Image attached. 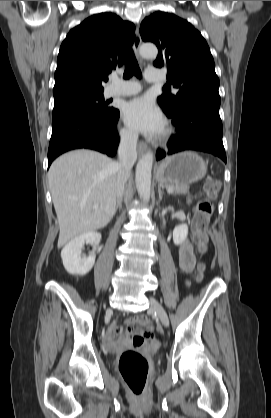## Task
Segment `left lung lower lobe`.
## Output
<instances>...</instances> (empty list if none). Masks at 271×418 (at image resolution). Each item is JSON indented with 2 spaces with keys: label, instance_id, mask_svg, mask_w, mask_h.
I'll return each mask as SVG.
<instances>
[{
  "label": "left lung lower lobe",
  "instance_id": "left-lung-lower-lobe-1",
  "mask_svg": "<svg viewBox=\"0 0 271 418\" xmlns=\"http://www.w3.org/2000/svg\"><path fill=\"white\" fill-rule=\"evenodd\" d=\"M176 128V135L168 142V150H159L156 159L160 160L185 150L211 153L226 162L222 142L223 128L219 107L187 104L175 114L168 115Z\"/></svg>",
  "mask_w": 271,
  "mask_h": 418
}]
</instances>
